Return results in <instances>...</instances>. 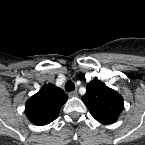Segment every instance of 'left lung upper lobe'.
Here are the masks:
<instances>
[{
  "instance_id": "1",
  "label": "left lung upper lobe",
  "mask_w": 145,
  "mask_h": 145,
  "mask_svg": "<svg viewBox=\"0 0 145 145\" xmlns=\"http://www.w3.org/2000/svg\"><path fill=\"white\" fill-rule=\"evenodd\" d=\"M86 90L82 101L88 107L91 115L102 124L116 122L123 110L122 96L100 80L89 82Z\"/></svg>"
}]
</instances>
